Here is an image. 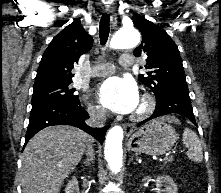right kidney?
I'll list each match as a JSON object with an SVG mask.
<instances>
[{
	"mask_svg": "<svg viewBox=\"0 0 221 193\" xmlns=\"http://www.w3.org/2000/svg\"><path fill=\"white\" fill-rule=\"evenodd\" d=\"M65 193H80L78 181L75 177L68 182V184L65 188Z\"/></svg>",
	"mask_w": 221,
	"mask_h": 193,
	"instance_id": "right-kidney-1",
	"label": "right kidney"
}]
</instances>
